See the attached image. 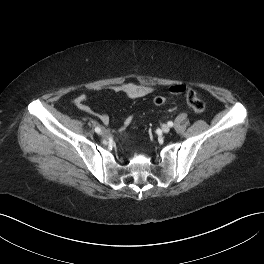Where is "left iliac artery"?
Listing matches in <instances>:
<instances>
[{"instance_id": "obj_1", "label": "left iliac artery", "mask_w": 264, "mask_h": 264, "mask_svg": "<svg viewBox=\"0 0 264 264\" xmlns=\"http://www.w3.org/2000/svg\"><path fill=\"white\" fill-rule=\"evenodd\" d=\"M168 125H169L170 127H172V126H173V122H172V121H169V122H168Z\"/></svg>"}]
</instances>
